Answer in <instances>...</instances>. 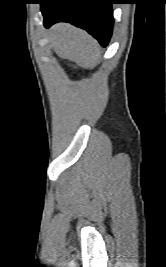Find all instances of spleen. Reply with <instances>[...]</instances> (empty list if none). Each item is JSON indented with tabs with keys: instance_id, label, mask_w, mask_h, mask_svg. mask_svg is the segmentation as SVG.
Wrapping results in <instances>:
<instances>
[{
	"instance_id": "obj_1",
	"label": "spleen",
	"mask_w": 166,
	"mask_h": 267,
	"mask_svg": "<svg viewBox=\"0 0 166 267\" xmlns=\"http://www.w3.org/2000/svg\"><path fill=\"white\" fill-rule=\"evenodd\" d=\"M50 39L59 55L65 56L82 67H92L100 56L99 45L86 32L70 25H58Z\"/></svg>"
}]
</instances>
